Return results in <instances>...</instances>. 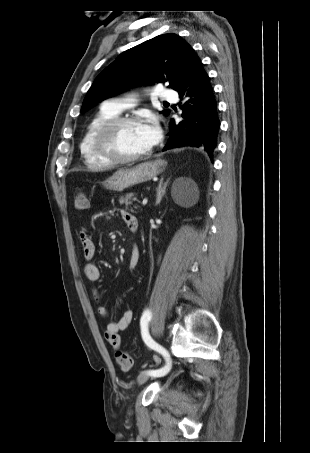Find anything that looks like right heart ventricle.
I'll list each match as a JSON object with an SVG mask.
<instances>
[{"label": "right heart ventricle", "instance_id": "right-heart-ventricle-1", "mask_svg": "<svg viewBox=\"0 0 310 453\" xmlns=\"http://www.w3.org/2000/svg\"><path fill=\"white\" fill-rule=\"evenodd\" d=\"M117 115L118 113L102 106L86 126L79 144V150L85 164L89 168L98 169L112 166V163L106 161L96 153L93 146V138L100 126Z\"/></svg>", "mask_w": 310, "mask_h": 453}]
</instances>
